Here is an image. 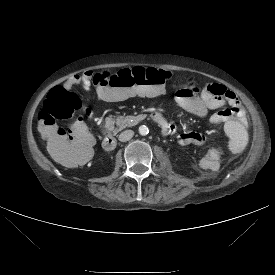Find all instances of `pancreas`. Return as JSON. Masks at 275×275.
I'll return each mask as SVG.
<instances>
[{
    "instance_id": "pancreas-1",
    "label": "pancreas",
    "mask_w": 275,
    "mask_h": 275,
    "mask_svg": "<svg viewBox=\"0 0 275 275\" xmlns=\"http://www.w3.org/2000/svg\"><path fill=\"white\" fill-rule=\"evenodd\" d=\"M141 119V115L138 116H133V115H129V116H125V115H121V116H117L115 119V123L118 127V130H122L126 127H132L134 125H136Z\"/></svg>"
}]
</instances>
